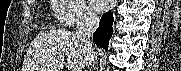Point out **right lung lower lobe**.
<instances>
[{
  "label": "right lung lower lobe",
  "mask_w": 181,
  "mask_h": 71,
  "mask_svg": "<svg viewBox=\"0 0 181 71\" xmlns=\"http://www.w3.org/2000/svg\"><path fill=\"white\" fill-rule=\"evenodd\" d=\"M113 20H114L113 13L107 12L103 14L100 20L99 27L93 34L94 42L98 46L106 50L108 49V42L113 32V28H112Z\"/></svg>",
  "instance_id": "98d812e1"
}]
</instances>
